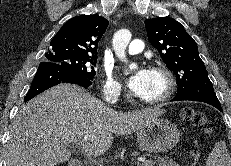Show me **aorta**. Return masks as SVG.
<instances>
[{
    "mask_svg": "<svg viewBox=\"0 0 231 166\" xmlns=\"http://www.w3.org/2000/svg\"><path fill=\"white\" fill-rule=\"evenodd\" d=\"M131 32L127 29H121L119 31H117L113 37L112 40V45H113V49L115 51V54L117 55V57L127 63L128 60L126 58V47L129 44L130 40H131ZM137 68V64L136 63H130L129 64V69L133 70Z\"/></svg>",
    "mask_w": 231,
    "mask_h": 166,
    "instance_id": "obj_1",
    "label": "aorta"
}]
</instances>
